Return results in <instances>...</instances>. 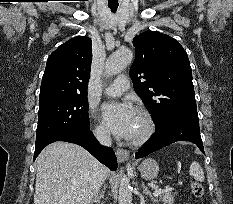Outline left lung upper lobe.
I'll return each instance as SVG.
<instances>
[{
	"label": "left lung upper lobe",
	"mask_w": 233,
	"mask_h": 204,
	"mask_svg": "<svg viewBox=\"0 0 233 204\" xmlns=\"http://www.w3.org/2000/svg\"><path fill=\"white\" fill-rule=\"evenodd\" d=\"M133 45L136 56L130 76L154 122L198 118L192 70L180 43L157 31H146L134 37Z\"/></svg>",
	"instance_id": "left-lung-upper-lobe-1"
}]
</instances>
